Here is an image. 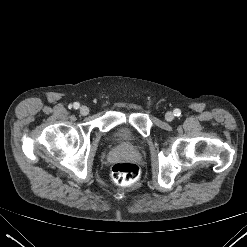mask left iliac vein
<instances>
[{
	"mask_svg": "<svg viewBox=\"0 0 247 247\" xmlns=\"http://www.w3.org/2000/svg\"><path fill=\"white\" fill-rule=\"evenodd\" d=\"M165 119L169 122H171L174 119V114L172 112H167L165 114Z\"/></svg>",
	"mask_w": 247,
	"mask_h": 247,
	"instance_id": "left-iliac-vein-1",
	"label": "left iliac vein"
}]
</instances>
